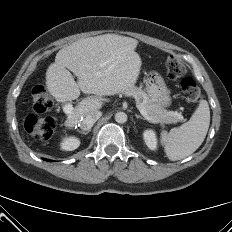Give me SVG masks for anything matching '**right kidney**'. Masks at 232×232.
<instances>
[{
	"label": "right kidney",
	"instance_id": "obj_1",
	"mask_svg": "<svg viewBox=\"0 0 232 232\" xmlns=\"http://www.w3.org/2000/svg\"><path fill=\"white\" fill-rule=\"evenodd\" d=\"M80 145V140L77 137L70 136V137H65L63 141L61 142V149L66 150V151H73L77 149Z\"/></svg>",
	"mask_w": 232,
	"mask_h": 232
}]
</instances>
